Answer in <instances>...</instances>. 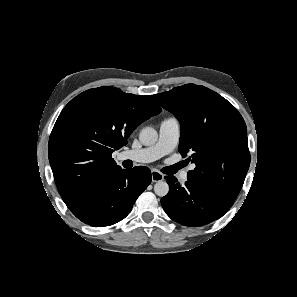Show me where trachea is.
Returning a JSON list of instances; mask_svg holds the SVG:
<instances>
[{"label": "trachea", "instance_id": "trachea-1", "mask_svg": "<svg viewBox=\"0 0 297 297\" xmlns=\"http://www.w3.org/2000/svg\"><path fill=\"white\" fill-rule=\"evenodd\" d=\"M182 167V164L181 163H178L177 165H176V168L177 169H180Z\"/></svg>", "mask_w": 297, "mask_h": 297}]
</instances>
